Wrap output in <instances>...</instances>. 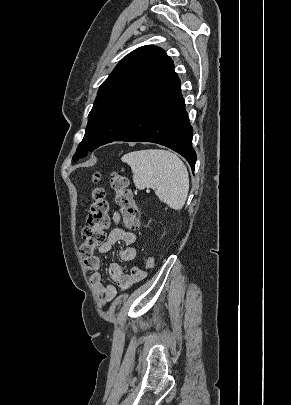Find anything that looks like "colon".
<instances>
[{
  "label": "colon",
  "instance_id": "colon-1",
  "mask_svg": "<svg viewBox=\"0 0 291 405\" xmlns=\"http://www.w3.org/2000/svg\"><path fill=\"white\" fill-rule=\"evenodd\" d=\"M100 174L93 175V181L100 180ZM110 187L116 194V202L120 206L123 224L134 229L138 224L137 205L133 195L128 188V180L120 173L113 172L110 175ZM110 225L109 203L106 199L105 189L94 187L91 192V206L87 218V225L84 227L81 236L80 254L84 259L93 257L95 251L105 240V231ZM155 265L154 257L150 256L145 260L144 269H152Z\"/></svg>",
  "mask_w": 291,
  "mask_h": 405
}]
</instances>
